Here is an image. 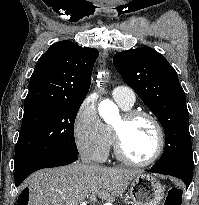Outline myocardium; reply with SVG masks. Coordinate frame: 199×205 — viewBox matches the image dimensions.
<instances>
[{
  "instance_id": "1",
  "label": "myocardium",
  "mask_w": 199,
  "mask_h": 205,
  "mask_svg": "<svg viewBox=\"0 0 199 205\" xmlns=\"http://www.w3.org/2000/svg\"><path fill=\"white\" fill-rule=\"evenodd\" d=\"M138 118H146L150 120L153 126L155 127L157 133V145L153 155L150 158L146 160L138 161L127 156L122 148L120 131L115 126H112L111 128L112 142H113L114 152L118 160L130 166L144 167L154 163L162 155L165 147V132L158 118L148 111L127 110L121 115V119L124 123L131 122Z\"/></svg>"
}]
</instances>
